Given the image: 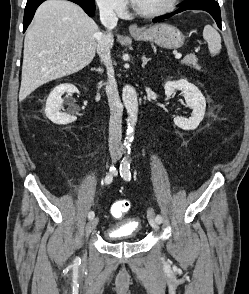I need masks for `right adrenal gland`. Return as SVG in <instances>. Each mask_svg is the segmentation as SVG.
Segmentation results:
<instances>
[{
  "label": "right adrenal gland",
  "instance_id": "2a0ac1e0",
  "mask_svg": "<svg viewBox=\"0 0 249 294\" xmlns=\"http://www.w3.org/2000/svg\"><path fill=\"white\" fill-rule=\"evenodd\" d=\"M92 70H95V71H97L99 73H102L103 72V69L102 68H92Z\"/></svg>",
  "mask_w": 249,
  "mask_h": 294
}]
</instances>
